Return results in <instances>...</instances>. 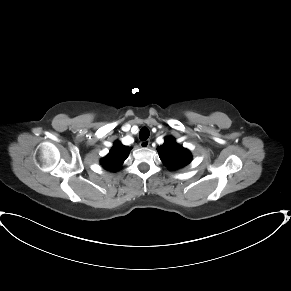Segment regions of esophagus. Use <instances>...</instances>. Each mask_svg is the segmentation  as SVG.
Returning a JSON list of instances; mask_svg holds the SVG:
<instances>
[{
	"mask_svg": "<svg viewBox=\"0 0 291 291\" xmlns=\"http://www.w3.org/2000/svg\"><path fill=\"white\" fill-rule=\"evenodd\" d=\"M140 146L142 148H148L150 146V141L149 140L141 141Z\"/></svg>",
	"mask_w": 291,
	"mask_h": 291,
	"instance_id": "34e87169",
	"label": "esophagus"
}]
</instances>
